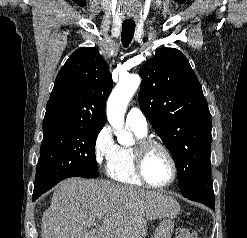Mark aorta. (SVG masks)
I'll return each mask as SVG.
<instances>
[{
    "label": "aorta",
    "instance_id": "762f6f07",
    "mask_svg": "<svg viewBox=\"0 0 247 238\" xmlns=\"http://www.w3.org/2000/svg\"><path fill=\"white\" fill-rule=\"evenodd\" d=\"M138 75H129L119 80L118 84L109 96L106 113L110 125L115 130V135L120 144H130L132 134L124 128V116L128 103L140 85Z\"/></svg>",
    "mask_w": 247,
    "mask_h": 238
}]
</instances>
